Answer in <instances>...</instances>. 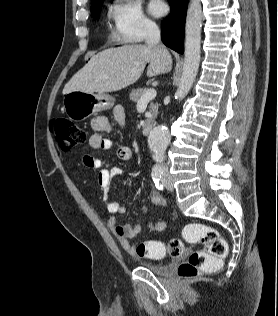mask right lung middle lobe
<instances>
[{
  "label": "right lung middle lobe",
  "mask_w": 278,
  "mask_h": 316,
  "mask_svg": "<svg viewBox=\"0 0 278 316\" xmlns=\"http://www.w3.org/2000/svg\"><path fill=\"white\" fill-rule=\"evenodd\" d=\"M102 4H103V1L98 3L97 5L93 6L91 8V13H92V16L96 19L99 14H100V11H101V8H102Z\"/></svg>",
  "instance_id": "1"
}]
</instances>
